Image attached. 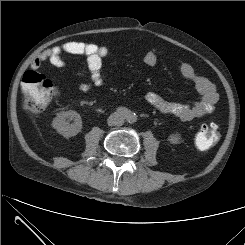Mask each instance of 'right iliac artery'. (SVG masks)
<instances>
[{"label": "right iliac artery", "mask_w": 245, "mask_h": 245, "mask_svg": "<svg viewBox=\"0 0 245 245\" xmlns=\"http://www.w3.org/2000/svg\"><path fill=\"white\" fill-rule=\"evenodd\" d=\"M116 111H117V113H119L120 115L125 116V117H127L129 114L128 109H126L124 107H120Z\"/></svg>", "instance_id": "1"}]
</instances>
